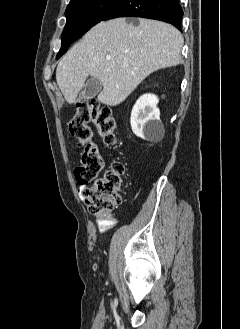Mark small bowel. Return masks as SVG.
<instances>
[{
  "instance_id": "small-bowel-1",
  "label": "small bowel",
  "mask_w": 240,
  "mask_h": 329,
  "mask_svg": "<svg viewBox=\"0 0 240 329\" xmlns=\"http://www.w3.org/2000/svg\"><path fill=\"white\" fill-rule=\"evenodd\" d=\"M85 190L84 186L79 187L78 192L80 197H83V192ZM98 230L101 234L108 232L115 226V221L113 220H102L96 223Z\"/></svg>"
}]
</instances>
